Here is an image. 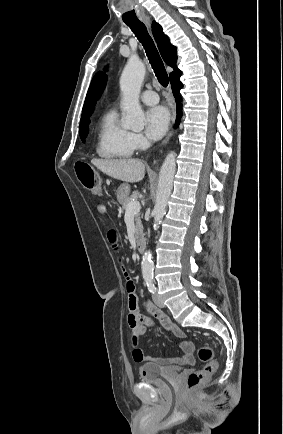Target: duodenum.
Listing matches in <instances>:
<instances>
[{
    "instance_id": "410a0bca",
    "label": "duodenum",
    "mask_w": 283,
    "mask_h": 434,
    "mask_svg": "<svg viewBox=\"0 0 283 434\" xmlns=\"http://www.w3.org/2000/svg\"><path fill=\"white\" fill-rule=\"evenodd\" d=\"M136 246L140 253H144L146 249V240L144 237L140 236L136 239Z\"/></svg>"
}]
</instances>
